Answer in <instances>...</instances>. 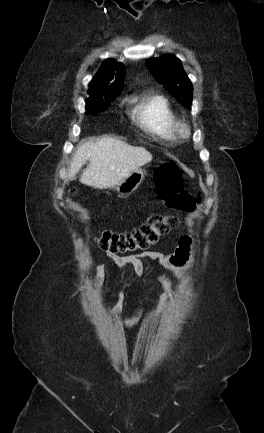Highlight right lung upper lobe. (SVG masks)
<instances>
[{"label":"right lung upper lobe","instance_id":"1","mask_svg":"<svg viewBox=\"0 0 264 433\" xmlns=\"http://www.w3.org/2000/svg\"><path fill=\"white\" fill-rule=\"evenodd\" d=\"M125 79V68L123 64L117 63L114 59H107L100 67L93 81L89 84L87 100L110 99L117 97Z\"/></svg>","mask_w":264,"mask_h":433}]
</instances>
